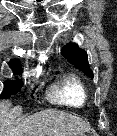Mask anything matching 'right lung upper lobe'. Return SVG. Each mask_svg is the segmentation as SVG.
<instances>
[{"instance_id": "right-lung-upper-lobe-1", "label": "right lung upper lobe", "mask_w": 117, "mask_h": 136, "mask_svg": "<svg viewBox=\"0 0 117 136\" xmlns=\"http://www.w3.org/2000/svg\"><path fill=\"white\" fill-rule=\"evenodd\" d=\"M10 67L13 70H21V65H20L19 61H17V60H11L10 61Z\"/></svg>"}]
</instances>
